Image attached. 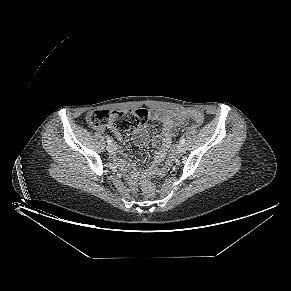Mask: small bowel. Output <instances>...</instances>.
<instances>
[{
	"instance_id": "small-bowel-1",
	"label": "small bowel",
	"mask_w": 291,
	"mask_h": 291,
	"mask_svg": "<svg viewBox=\"0 0 291 291\" xmlns=\"http://www.w3.org/2000/svg\"><path fill=\"white\" fill-rule=\"evenodd\" d=\"M151 118L162 123V132L160 135L154 136L151 143L154 145L161 144V149L155 156L154 161L146 171H161L157 168L158 164L164 159L166 152L171 144V138L174 128L177 125L176 114L167 110H154L151 113ZM134 141L139 146H145L149 142L148 134L144 130H138L134 133ZM138 179V174L135 172L132 175V180L135 182Z\"/></svg>"
}]
</instances>
